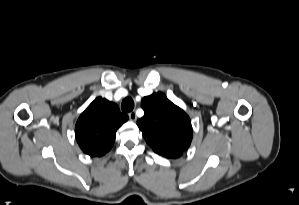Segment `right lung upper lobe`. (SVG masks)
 <instances>
[{
	"label": "right lung upper lobe",
	"instance_id": "cb5924a9",
	"mask_svg": "<svg viewBox=\"0 0 299 205\" xmlns=\"http://www.w3.org/2000/svg\"><path fill=\"white\" fill-rule=\"evenodd\" d=\"M127 120L115 103L98 97L80 115L76 140L84 153L100 157L111 149L117 129Z\"/></svg>",
	"mask_w": 299,
	"mask_h": 205
}]
</instances>
